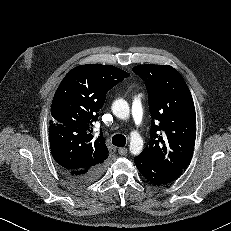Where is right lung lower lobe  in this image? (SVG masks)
Wrapping results in <instances>:
<instances>
[{"mask_svg": "<svg viewBox=\"0 0 231 231\" xmlns=\"http://www.w3.org/2000/svg\"><path fill=\"white\" fill-rule=\"evenodd\" d=\"M103 165L88 170H63L67 178L76 184H87L95 180L102 172Z\"/></svg>", "mask_w": 231, "mask_h": 231, "instance_id": "1", "label": "right lung lower lobe"}]
</instances>
